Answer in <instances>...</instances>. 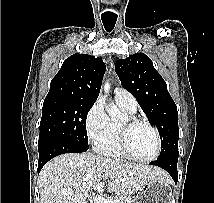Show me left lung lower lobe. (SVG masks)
<instances>
[{
  "label": "left lung lower lobe",
  "instance_id": "1",
  "mask_svg": "<svg viewBox=\"0 0 214 203\" xmlns=\"http://www.w3.org/2000/svg\"><path fill=\"white\" fill-rule=\"evenodd\" d=\"M177 161L178 157H167L163 159H157L156 161L150 162L151 165H156L158 167L166 170L173 178L175 183L178 181V173H177Z\"/></svg>",
  "mask_w": 214,
  "mask_h": 203
}]
</instances>
